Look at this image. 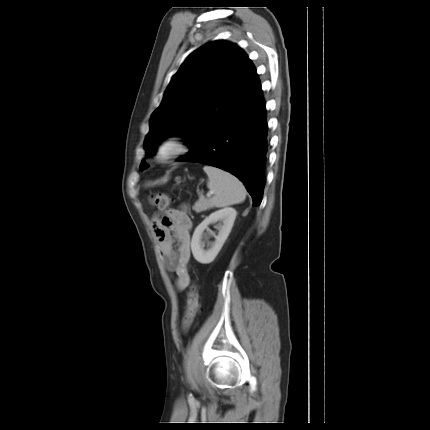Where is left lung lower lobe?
<instances>
[{
  "label": "left lung lower lobe",
  "instance_id": "0a47b994",
  "mask_svg": "<svg viewBox=\"0 0 430 430\" xmlns=\"http://www.w3.org/2000/svg\"><path fill=\"white\" fill-rule=\"evenodd\" d=\"M261 85L221 121L199 129L191 151L178 161L198 162L239 178L258 206L263 197L268 138Z\"/></svg>",
  "mask_w": 430,
  "mask_h": 430
}]
</instances>
